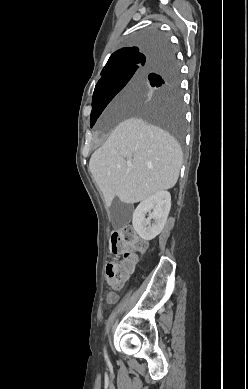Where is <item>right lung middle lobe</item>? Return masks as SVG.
<instances>
[{
  "mask_svg": "<svg viewBox=\"0 0 248 389\" xmlns=\"http://www.w3.org/2000/svg\"><path fill=\"white\" fill-rule=\"evenodd\" d=\"M143 44L152 47L168 43L162 35L149 32L144 35ZM148 73H150L148 78L152 86L151 100L145 103L131 102L127 105L128 111L150 124L167 130L179 143H182L184 140V110L179 88V65L171 48L163 57L146 68L136 64L103 75L94 90L90 127L95 124L108 103L128 82L131 84L144 83ZM153 73L161 76L154 79Z\"/></svg>",
  "mask_w": 248,
  "mask_h": 389,
  "instance_id": "obj_1",
  "label": "right lung middle lobe"
}]
</instances>
